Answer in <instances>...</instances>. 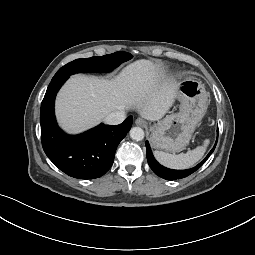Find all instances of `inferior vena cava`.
Here are the masks:
<instances>
[{
    "mask_svg": "<svg viewBox=\"0 0 255 255\" xmlns=\"http://www.w3.org/2000/svg\"><path fill=\"white\" fill-rule=\"evenodd\" d=\"M125 119V112L124 111H116V112H112L110 114H108L104 121L107 124L110 125H117L120 124L124 121Z\"/></svg>",
    "mask_w": 255,
    "mask_h": 255,
    "instance_id": "obj_1",
    "label": "inferior vena cava"
}]
</instances>
